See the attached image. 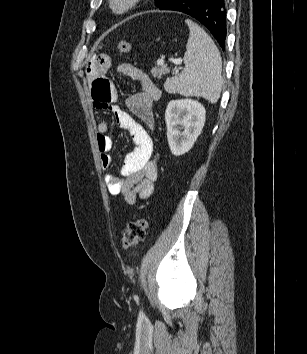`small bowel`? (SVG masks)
<instances>
[{"label": "small bowel", "instance_id": "small-bowel-1", "mask_svg": "<svg viewBox=\"0 0 307 354\" xmlns=\"http://www.w3.org/2000/svg\"><path fill=\"white\" fill-rule=\"evenodd\" d=\"M111 60L107 54L95 55L86 66V78L91 84V95L94 106L113 115L117 125L127 130L135 145L124 159L119 177L108 174L105 178L110 194L121 195L129 205H135L138 199H147L154 192L158 178V163L152 159L153 140L150 132L154 129L153 104L161 92L152 81L150 75L131 65L123 63L118 70L125 76L135 80L140 91L125 100L128 111L116 104L118 93L105 76L110 68ZM107 121L97 124V145L100 152L101 166L104 170L113 163L110 151L113 140L108 134Z\"/></svg>", "mask_w": 307, "mask_h": 354}]
</instances>
